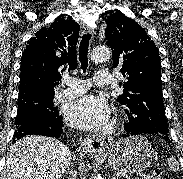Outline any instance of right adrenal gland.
Segmentation results:
<instances>
[{
    "label": "right adrenal gland",
    "mask_w": 183,
    "mask_h": 179,
    "mask_svg": "<svg viewBox=\"0 0 183 179\" xmlns=\"http://www.w3.org/2000/svg\"><path fill=\"white\" fill-rule=\"evenodd\" d=\"M68 173H69L68 179H76L77 172H76L75 167L72 163L68 167Z\"/></svg>",
    "instance_id": "2a0ac1e0"
}]
</instances>
